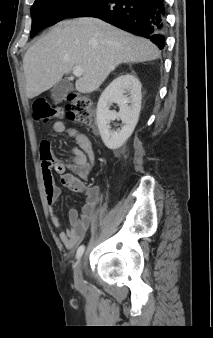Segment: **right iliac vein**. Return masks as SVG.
<instances>
[{
	"mask_svg": "<svg viewBox=\"0 0 213 338\" xmlns=\"http://www.w3.org/2000/svg\"><path fill=\"white\" fill-rule=\"evenodd\" d=\"M74 280L77 285H81L83 282V276H82V264L81 262L78 264V266L75 269L74 272Z\"/></svg>",
	"mask_w": 213,
	"mask_h": 338,
	"instance_id": "1",
	"label": "right iliac vein"
}]
</instances>
